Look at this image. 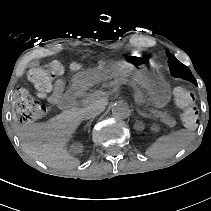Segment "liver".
Listing matches in <instances>:
<instances>
[{"instance_id": "obj_1", "label": "liver", "mask_w": 211, "mask_h": 211, "mask_svg": "<svg viewBox=\"0 0 211 211\" xmlns=\"http://www.w3.org/2000/svg\"><path fill=\"white\" fill-rule=\"evenodd\" d=\"M101 103L108 104L105 98ZM81 119L80 112L64 111L46 123L16 124L14 129L27 155L47 166L69 170L78 166L79 161L69 156L64 146Z\"/></svg>"}]
</instances>
